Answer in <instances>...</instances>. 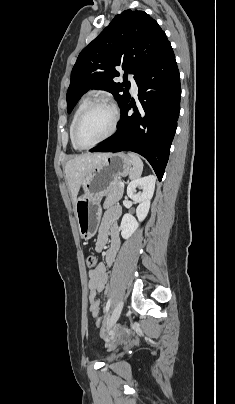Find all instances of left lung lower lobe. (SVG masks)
<instances>
[{"label": "left lung lower lobe", "instance_id": "left-lung-lower-lobe-1", "mask_svg": "<svg viewBox=\"0 0 235 404\" xmlns=\"http://www.w3.org/2000/svg\"><path fill=\"white\" fill-rule=\"evenodd\" d=\"M139 102L121 107L117 132L91 152L132 151L145 157L161 181L180 111V77L168 43L135 78ZM133 109V114L128 111Z\"/></svg>", "mask_w": 235, "mask_h": 404}]
</instances>
